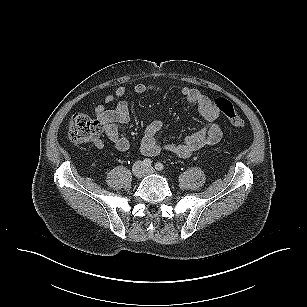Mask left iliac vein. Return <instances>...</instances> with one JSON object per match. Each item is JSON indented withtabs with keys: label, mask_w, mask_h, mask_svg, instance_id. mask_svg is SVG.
Listing matches in <instances>:
<instances>
[{
	"label": "left iliac vein",
	"mask_w": 307,
	"mask_h": 307,
	"mask_svg": "<svg viewBox=\"0 0 307 307\" xmlns=\"http://www.w3.org/2000/svg\"><path fill=\"white\" fill-rule=\"evenodd\" d=\"M145 172H146L147 174H153V173H155V169L152 168V167H149V168H147V169L145 170Z\"/></svg>",
	"instance_id": "4c4485c4"
}]
</instances>
